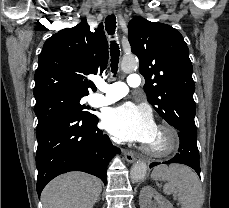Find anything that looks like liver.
<instances>
[{
  "mask_svg": "<svg viewBox=\"0 0 229 208\" xmlns=\"http://www.w3.org/2000/svg\"><path fill=\"white\" fill-rule=\"evenodd\" d=\"M102 192L101 180L82 172L62 174L41 194L43 208H93Z\"/></svg>",
  "mask_w": 229,
  "mask_h": 208,
  "instance_id": "obj_1",
  "label": "liver"
}]
</instances>
